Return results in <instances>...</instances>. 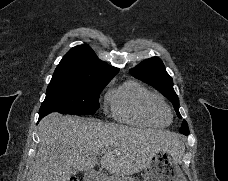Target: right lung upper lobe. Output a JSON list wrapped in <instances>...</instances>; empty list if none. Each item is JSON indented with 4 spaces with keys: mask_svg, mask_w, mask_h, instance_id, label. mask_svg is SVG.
<instances>
[{
    "mask_svg": "<svg viewBox=\"0 0 228 181\" xmlns=\"http://www.w3.org/2000/svg\"><path fill=\"white\" fill-rule=\"evenodd\" d=\"M119 69L102 62L87 45L70 49L63 57L51 81L64 83H84L111 80Z\"/></svg>",
    "mask_w": 228,
    "mask_h": 181,
    "instance_id": "obj_1",
    "label": "right lung upper lobe"
}]
</instances>
